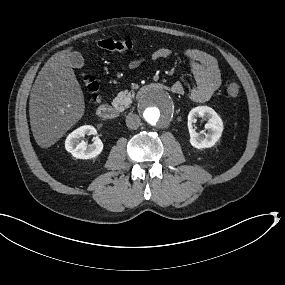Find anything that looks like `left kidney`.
Here are the masks:
<instances>
[{
  "label": "left kidney",
  "instance_id": "left-kidney-1",
  "mask_svg": "<svg viewBox=\"0 0 285 285\" xmlns=\"http://www.w3.org/2000/svg\"><path fill=\"white\" fill-rule=\"evenodd\" d=\"M197 118L207 119L205 129L208 133L199 136L198 133L191 129L192 123H195ZM188 125L190 128V145L196 149H207L213 147L222 136L224 124L220 116L210 107L199 106L192 109L188 115Z\"/></svg>",
  "mask_w": 285,
  "mask_h": 285
}]
</instances>
